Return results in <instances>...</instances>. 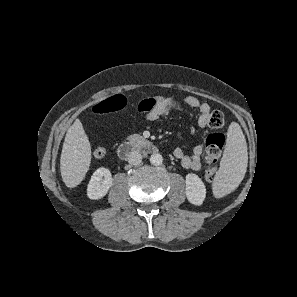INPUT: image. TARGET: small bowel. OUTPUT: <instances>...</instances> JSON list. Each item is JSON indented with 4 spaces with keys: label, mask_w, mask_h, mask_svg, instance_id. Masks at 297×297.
<instances>
[{
    "label": "small bowel",
    "mask_w": 297,
    "mask_h": 297,
    "mask_svg": "<svg viewBox=\"0 0 297 297\" xmlns=\"http://www.w3.org/2000/svg\"><path fill=\"white\" fill-rule=\"evenodd\" d=\"M186 105L194 108L199 112L198 125L202 128L207 126L208 117L211 113L210 106L201 101L195 96H186L182 100H178L172 97H168L157 104H155L150 110L146 111V118L151 121H157L165 117L171 110ZM203 154L202 146H195L191 155H186L181 148L174 150V156L180 160L181 165L186 169L198 171L201 169V156Z\"/></svg>",
    "instance_id": "1"
}]
</instances>
